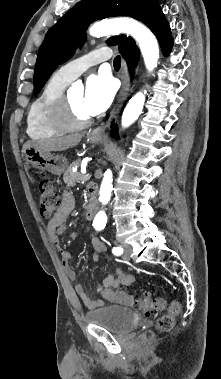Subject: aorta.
<instances>
[{
    "instance_id": "762f6f07",
    "label": "aorta",
    "mask_w": 221,
    "mask_h": 379,
    "mask_svg": "<svg viewBox=\"0 0 221 379\" xmlns=\"http://www.w3.org/2000/svg\"><path fill=\"white\" fill-rule=\"evenodd\" d=\"M89 33L94 37L118 33L129 34L138 42L147 70L152 71L157 66L159 58L157 39L146 26L135 19L124 17L95 23L90 27ZM145 94L146 91L138 92L129 100L122 114V127L126 128L138 119L143 110ZM112 181V172L108 169L104 173L99 191V201L102 205H106L110 200L113 189ZM106 222V213L104 210H100L96 214L93 224L95 227L101 228L106 225Z\"/></svg>"
}]
</instances>
